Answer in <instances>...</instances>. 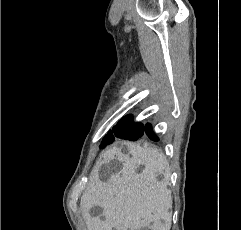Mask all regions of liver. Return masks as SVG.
I'll list each match as a JSON object with an SVG mask.
<instances>
[{"label": "liver", "mask_w": 241, "mask_h": 230, "mask_svg": "<svg viewBox=\"0 0 241 230\" xmlns=\"http://www.w3.org/2000/svg\"><path fill=\"white\" fill-rule=\"evenodd\" d=\"M127 146L131 156L117 148L107 149L100 156V167L113 160L122 166L117 173L108 171L106 181H101L98 174L90 178L80 201L87 229L138 230L152 223L153 230H170V171L164 154L147 145ZM137 165L144 166L141 173H136ZM158 173L163 175L162 180H158ZM97 206L102 208V214L93 216L91 211Z\"/></svg>", "instance_id": "1"}]
</instances>
